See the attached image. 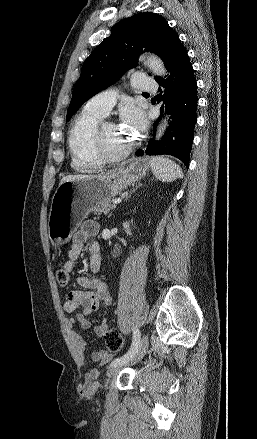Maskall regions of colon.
Here are the masks:
<instances>
[{
    "instance_id": "1",
    "label": "colon",
    "mask_w": 257,
    "mask_h": 439,
    "mask_svg": "<svg viewBox=\"0 0 257 439\" xmlns=\"http://www.w3.org/2000/svg\"><path fill=\"white\" fill-rule=\"evenodd\" d=\"M56 280L59 285L66 286L70 280L69 273L63 268L58 269L56 271ZM103 338L107 349L111 352H117L124 346V339L116 329L107 330Z\"/></svg>"
}]
</instances>
